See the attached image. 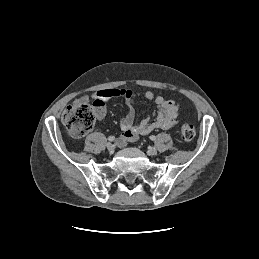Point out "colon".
<instances>
[{
	"label": "colon",
	"instance_id": "5ec220e1",
	"mask_svg": "<svg viewBox=\"0 0 259 259\" xmlns=\"http://www.w3.org/2000/svg\"><path fill=\"white\" fill-rule=\"evenodd\" d=\"M62 122L71 135L82 137L92 130L95 124V112L87 103H75L64 110ZM180 133L184 140L190 141L195 136V127L191 123H184Z\"/></svg>",
	"mask_w": 259,
	"mask_h": 259
}]
</instances>
